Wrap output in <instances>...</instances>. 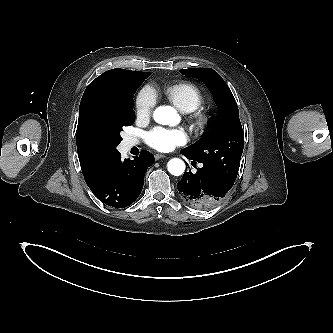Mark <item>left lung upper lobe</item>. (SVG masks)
Here are the masks:
<instances>
[{
  "mask_svg": "<svg viewBox=\"0 0 333 333\" xmlns=\"http://www.w3.org/2000/svg\"><path fill=\"white\" fill-rule=\"evenodd\" d=\"M180 73L205 83L221 112L220 117H213L211 128L204 136L182 151L234 183L243 152L244 133L233 94L220 75L211 68H190L180 70Z\"/></svg>",
  "mask_w": 333,
  "mask_h": 333,
  "instance_id": "1",
  "label": "left lung upper lobe"
}]
</instances>
